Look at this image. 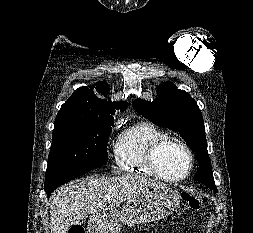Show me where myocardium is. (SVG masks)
<instances>
[{
	"label": "myocardium",
	"mask_w": 253,
	"mask_h": 233,
	"mask_svg": "<svg viewBox=\"0 0 253 233\" xmlns=\"http://www.w3.org/2000/svg\"><path fill=\"white\" fill-rule=\"evenodd\" d=\"M170 146H177L179 148H182L188 156L189 166L187 168V171L181 176H167L163 174L159 166L160 154L163 150ZM147 163L150 169L158 178L168 182H178L186 179L191 174L194 167V155L191 148L185 142L173 137H166L152 144L148 152Z\"/></svg>",
	"instance_id": "myocardium-1"
}]
</instances>
